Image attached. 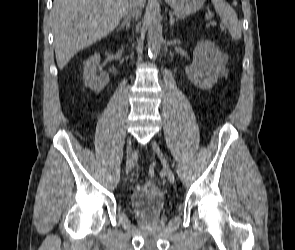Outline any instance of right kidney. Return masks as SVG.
I'll use <instances>...</instances> for the list:
<instances>
[{
    "mask_svg": "<svg viewBox=\"0 0 295 250\" xmlns=\"http://www.w3.org/2000/svg\"><path fill=\"white\" fill-rule=\"evenodd\" d=\"M99 63L100 54L95 53L86 61L83 72L85 85L96 93L103 90L109 82V74L107 72L100 71V76H97Z\"/></svg>",
    "mask_w": 295,
    "mask_h": 250,
    "instance_id": "obj_1",
    "label": "right kidney"
}]
</instances>
